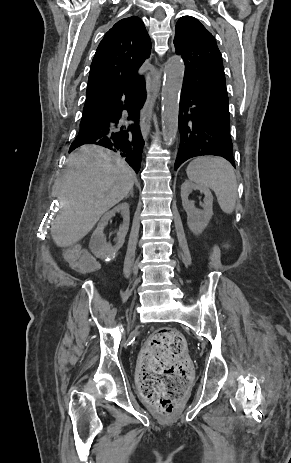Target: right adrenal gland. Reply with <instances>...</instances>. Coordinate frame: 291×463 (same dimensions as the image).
Returning a JSON list of instances; mask_svg holds the SVG:
<instances>
[{
    "label": "right adrenal gland",
    "mask_w": 291,
    "mask_h": 463,
    "mask_svg": "<svg viewBox=\"0 0 291 463\" xmlns=\"http://www.w3.org/2000/svg\"><path fill=\"white\" fill-rule=\"evenodd\" d=\"M129 195H131L132 197L134 196V194H133V188L131 189L130 193L126 196V198L129 197Z\"/></svg>",
    "instance_id": "obj_1"
}]
</instances>
